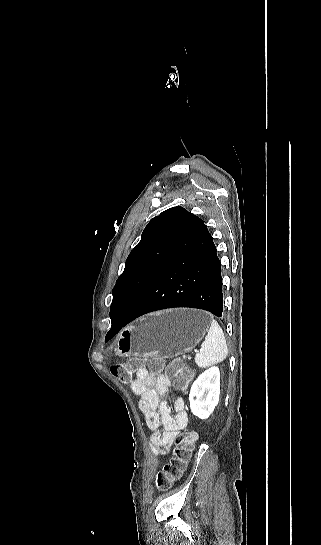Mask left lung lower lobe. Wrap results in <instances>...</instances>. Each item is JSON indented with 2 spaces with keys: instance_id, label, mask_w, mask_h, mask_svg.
Returning a JSON list of instances; mask_svg holds the SVG:
<instances>
[{
  "instance_id": "obj_1",
  "label": "left lung lower lobe",
  "mask_w": 321,
  "mask_h": 545,
  "mask_svg": "<svg viewBox=\"0 0 321 545\" xmlns=\"http://www.w3.org/2000/svg\"><path fill=\"white\" fill-rule=\"evenodd\" d=\"M174 307L203 309L218 317L223 312L221 263L206 225L194 214L132 311L111 316L110 332L146 313Z\"/></svg>"
}]
</instances>
